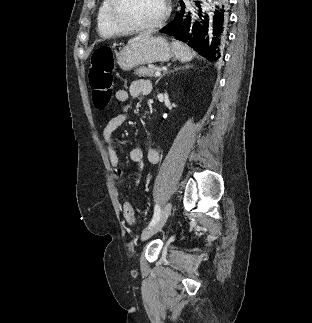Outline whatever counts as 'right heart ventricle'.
Masks as SVG:
<instances>
[{"instance_id":"right-heart-ventricle-1","label":"right heart ventricle","mask_w":312,"mask_h":323,"mask_svg":"<svg viewBox=\"0 0 312 323\" xmlns=\"http://www.w3.org/2000/svg\"><path fill=\"white\" fill-rule=\"evenodd\" d=\"M113 9L112 1H97L94 9L97 33H113L115 29L122 28V23L114 18Z\"/></svg>"}]
</instances>
